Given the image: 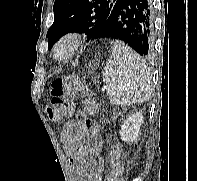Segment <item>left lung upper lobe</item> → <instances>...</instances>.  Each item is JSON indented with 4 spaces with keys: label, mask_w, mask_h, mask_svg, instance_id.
<instances>
[{
    "label": "left lung upper lobe",
    "mask_w": 197,
    "mask_h": 181,
    "mask_svg": "<svg viewBox=\"0 0 197 181\" xmlns=\"http://www.w3.org/2000/svg\"><path fill=\"white\" fill-rule=\"evenodd\" d=\"M117 0H56L54 22L47 32L51 48L68 32L84 33L87 41L98 39Z\"/></svg>",
    "instance_id": "1"
}]
</instances>
